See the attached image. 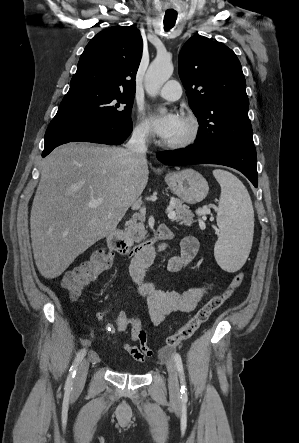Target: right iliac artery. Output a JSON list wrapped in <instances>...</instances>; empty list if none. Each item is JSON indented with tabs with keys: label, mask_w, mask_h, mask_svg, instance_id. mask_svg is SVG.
<instances>
[{
	"label": "right iliac artery",
	"mask_w": 299,
	"mask_h": 443,
	"mask_svg": "<svg viewBox=\"0 0 299 443\" xmlns=\"http://www.w3.org/2000/svg\"><path fill=\"white\" fill-rule=\"evenodd\" d=\"M86 351H87L86 349L80 350L74 359V362L69 370V375H68L66 385H65L67 390H70L72 388L73 379L75 377L77 368H78L80 362L82 361V359L84 358V356L86 355Z\"/></svg>",
	"instance_id": "1"
}]
</instances>
